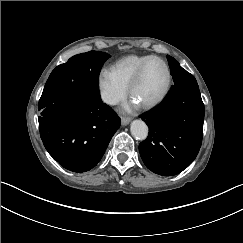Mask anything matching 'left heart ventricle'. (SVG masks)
I'll list each match as a JSON object with an SVG mask.
<instances>
[{"instance_id": "1", "label": "left heart ventricle", "mask_w": 243, "mask_h": 243, "mask_svg": "<svg viewBox=\"0 0 243 243\" xmlns=\"http://www.w3.org/2000/svg\"><path fill=\"white\" fill-rule=\"evenodd\" d=\"M168 83V72L160 61H151L136 86L131 96L141 105L157 99L165 90Z\"/></svg>"}]
</instances>
